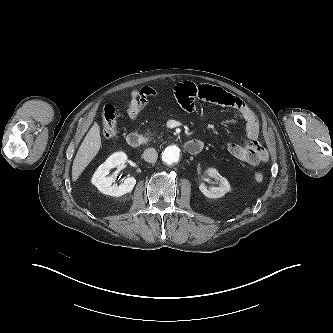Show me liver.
Listing matches in <instances>:
<instances>
[{
	"label": "liver",
	"mask_w": 333,
	"mask_h": 333,
	"mask_svg": "<svg viewBox=\"0 0 333 333\" xmlns=\"http://www.w3.org/2000/svg\"><path fill=\"white\" fill-rule=\"evenodd\" d=\"M101 147L100 128L94 123L81 143L72 166V180L76 181Z\"/></svg>",
	"instance_id": "1"
}]
</instances>
